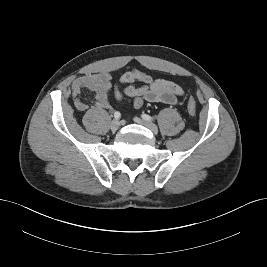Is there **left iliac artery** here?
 <instances>
[{"label":"left iliac artery","instance_id":"44dca946","mask_svg":"<svg viewBox=\"0 0 267 267\" xmlns=\"http://www.w3.org/2000/svg\"><path fill=\"white\" fill-rule=\"evenodd\" d=\"M142 118L146 121H154V119L147 114H142Z\"/></svg>","mask_w":267,"mask_h":267}]
</instances>
